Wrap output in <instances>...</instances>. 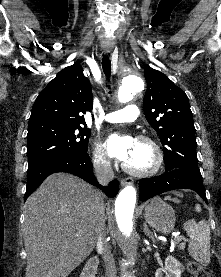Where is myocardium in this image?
<instances>
[{"mask_svg": "<svg viewBox=\"0 0 221 277\" xmlns=\"http://www.w3.org/2000/svg\"><path fill=\"white\" fill-rule=\"evenodd\" d=\"M137 141L147 144L152 149L153 154H154L153 164L147 169L139 170V169L131 168L126 163H123L122 168L125 172H127L128 174L135 176V177L152 176L160 170V168L163 164L164 157H163L162 149H161L160 145L154 139H152L151 137H148V136H144V135L139 136L137 138Z\"/></svg>", "mask_w": 221, "mask_h": 277, "instance_id": "f54148a6", "label": "myocardium"}]
</instances>
